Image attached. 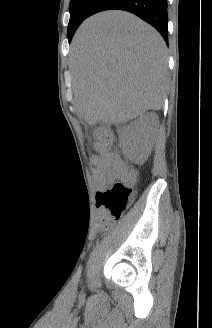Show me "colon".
<instances>
[{
	"label": "colon",
	"instance_id": "obj_1",
	"mask_svg": "<svg viewBox=\"0 0 212 328\" xmlns=\"http://www.w3.org/2000/svg\"><path fill=\"white\" fill-rule=\"evenodd\" d=\"M94 137L106 147L113 143L112 135L103 129L96 130ZM130 173L128 170L125 171V175ZM131 194V187L123 182H115L97 193L96 203L100 210L99 223L102 227H111L121 217L128 205Z\"/></svg>",
	"mask_w": 212,
	"mask_h": 328
}]
</instances>
